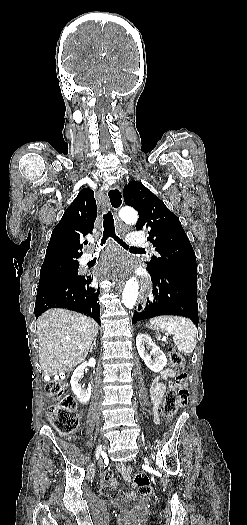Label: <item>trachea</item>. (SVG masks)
Listing matches in <instances>:
<instances>
[{"label": "trachea", "instance_id": "trachea-1", "mask_svg": "<svg viewBox=\"0 0 247 525\" xmlns=\"http://www.w3.org/2000/svg\"><path fill=\"white\" fill-rule=\"evenodd\" d=\"M103 227H104V232H103V237H102L101 244H100L101 246H103L106 243V240L109 237H111L117 243H119V245H121V247L125 248L126 250H128V249H138V247H130L129 245H127L126 242H124L120 237H118L116 235V233H115V223H114L113 215L110 212V210H108L103 215Z\"/></svg>", "mask_w": 247, "mask_h": 525}]
</instances>
